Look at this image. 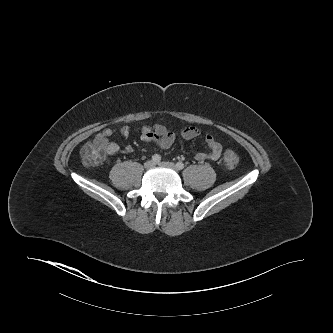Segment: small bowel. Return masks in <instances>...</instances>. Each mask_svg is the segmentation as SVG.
I'll list each match as a JSON object with an SVG mask.
<instances>
[{
  "instance_id": "small-bowel-1",
  "label": "small bowel",
  "mask_w": 333,
  "mask_h": 333,
  "mask_svg": "<svg viewBox=\"0 0 333 333\" xmlns=\"http://www.w3.org/2000/svg\"><path fill=\"white\" fill-rule=\"evenodd\" d=\"M116 134L127 137L130 134V128L128 126H122L118 129L106 128L96 135L95 140H103L109 145V155H113L120 150L124 153H131L133 151L131 146H126L123 149H120L116 143L109 141V138ZM199 135L200 131L192 126L183 128L179 132H173L162 124L144 126L141 129L142 141L146 143H154L162 149L170 148L178 137H181L185 140H192ZM205 141L208 148L207 151L196 153L194 155V159L199 162L217 160L222 152L221 143L217 141L211 134L205 135Z\"/></svg>"
}]
</instances>
